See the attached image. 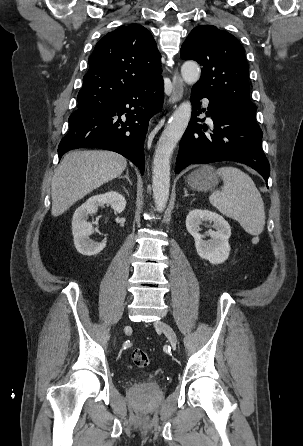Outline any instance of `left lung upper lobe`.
<instances>
[{"mask_svg":"<svg viewBox=\"0 0 303 446\" xmlns=\"http://www.w3.org/2000/svg\"><path fill=\"white\" fill-rule=\"evenodd\" d=\"M180 55L202 65L201 78L194 87L228 100L256 121L245 50L237 38L213 25H199L186 38Z\"/></svg>","mask_w":303,"mask_h":446,"instance_id":"obj_1","label":"left lung upper lobe"}]
</instances>
